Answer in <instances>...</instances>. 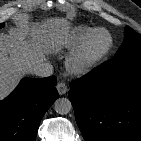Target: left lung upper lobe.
<instances>
[{
	"instance_id": "1",
	"label": "left lung upper lobe",
	"mask_w": 141,
	"mask_h": 141,
	"mask_svg": "<svg viewBox=\"0 0 141 141\" xmlns=\"http://www.w3.org/2000/svg\"><path fill=\"white\" fill-rule=\"evenodd\" d=\"M124 32V42L115 54L114 59L141 54V36L130 27H126Z\"/></svg>"
}]
</instances>
